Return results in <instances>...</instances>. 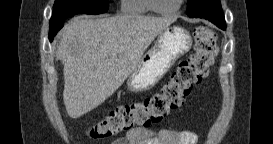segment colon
Instances as JSON below:
<instances>
[{
	"label": "colon",
	"mask_w": 273,
	"mask_h": 144,
	"mask_svg": "<svg viewBox=\"0 0 273 144\" xmlns=\"http://www.w3.org/2000/svg\"><path fill=\"white\" fill-rule=\"evenodd\" d=\"M194 39V53L178 64L160 91L145 100L114 108L90 127V136L105 139L136 128L146 129L180 107L192 88L208 75L218 52L211 29L198 27Z\"/></svg>",
	"instance_id": "1"
}]
</instances>
